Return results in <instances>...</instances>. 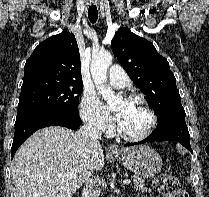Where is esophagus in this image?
Wrapping results in <instances>:
<instances>
[{"instance_id": "obj_1", "label": "esophagus", "mask_w": 209, "mask_h": 197, "mask_svg": "<svg viewBox=\"0 0 209 197\" xmlns=\"http://www.w3.org/2000/svg\"><path fill=\"white\" fill-rule=\"evenodd\" d=\"M90 2H91L92 4H94V3H95V0H90ZM109 149H110V151H111L112 153H121L120 148H119L117 145H115V144L110 145V146H109Z\"/></svg>"}]
</instances>
